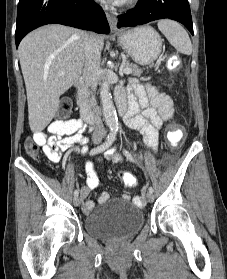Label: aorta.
<instances>
[{"mask_svg": "<svg viewBox=\"0 0 227 279\" xmlns=\"http://www.w3.org/2000/svg\"><path fill=\"white\" fill-rule=\"evenodd\" d=\"M109 87V83L106 80L103 81L100 88V98L105 122L110 129L114 130L118 129L119 124Z\"/></svg>", "mask_w": 227, "mask_h": 279, "instance_id": "762f6f07", "label": "aorta"}]
</instances>
